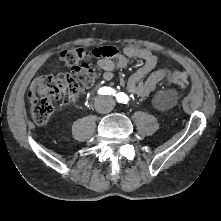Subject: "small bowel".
<instances>
[{
	"instance_id": "small-bowel-1",
	"label": "small bowel",
	"mask_w": 221,
	"mask_h": 221,
	"mask_svg": "<svg viewBox=\"0 0 221 221\" xmlns=\"http://www.w3.org/2000/svg\"><path fill=\"white\" fill-rule=\"evenodd\" d=\"M113 50L112 55L97 60V66L102 70V77L105 81H111L115 70L126 67L129 59L136 58L142 62L141 67L127 81V90L133 95L148 96L168 72L166 68L156 69L158 58L146 49L127 46L121 52L116 48Z\"/></svg>"
}]
</instances>
